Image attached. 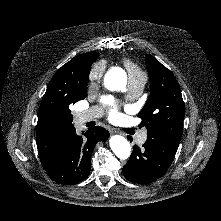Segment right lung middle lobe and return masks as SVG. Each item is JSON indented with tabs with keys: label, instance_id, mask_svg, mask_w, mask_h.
Segmentation results:
<instances>
[{
	"label": "right lung middle lobe",
	"instance_id": "right-lung-middle-lobe-1",
	"mask_svg": "<svg viewBox=\"0 0 221 221\" xmlns=\"http://www.w3.org/2000/svg\"><path fill=\"white\" fill-rule=\"evenodd\" d=\"M86 93H87V87H84L82 89H79L76 91L75 93V96L72 100V102H70L68 105H67V114H68V117L73 120V117L71 115V111L69 109V106L70 104H74L75 102H77L78 100H81V99H84L86 97Z\"/></svg>",
	"mask_w": 221,
	"mask_h": 221
}]
</instances>
